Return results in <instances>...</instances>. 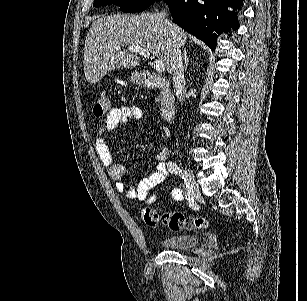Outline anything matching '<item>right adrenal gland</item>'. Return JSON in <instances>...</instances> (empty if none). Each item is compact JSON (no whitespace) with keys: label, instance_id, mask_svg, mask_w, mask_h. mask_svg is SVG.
<instances>
[{"label":"right adrenal gland","instance_id":"obj_1","mask_svg":"<svg viewBox=\"0 0 307 301\" xmlns=\"http://www.w3.org/2000/svg\"><path fill=\"white\" fill-rule=\"evenodd\" d=\"M187 50H188V48H184V50H183V52H184V70H187L188 62L190 60V58H188Z\"/></svg>","mask_w":307,"mask_h":301}]
</instances>
